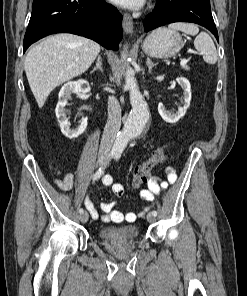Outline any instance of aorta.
I'll use <instances>...</instances> for the list:
<instances>
[{"mask_svg": "<svg viewBox=\"0 0 247 296\" xmlns=\"http://www.w3.org/2000/svg\"><path fill=\"white\" fill-rule=\"evenodd\" d=\"M122 58L126 57V52L121 54ZM125 86L129 89V97L132 109L125 122L123 130L116 137L114 147L123 150L132 137L139 136L149 119V110L143 95L141 94L134 71L127 69L125 73Z\"/></svg>", "mask_w": 247, "mask_h": 296, "instance_id": "1", "label": "aorta"}]
</instances>
